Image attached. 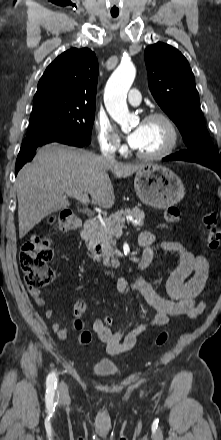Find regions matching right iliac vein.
Masks as SVG:
<instances>
[{
	"label": "right iliac vein",
	"instance_id": "63e3f726",
	"mask_svg": "<svg viewBox=\"0 0 221 440\" xmlns=\"http://www.w3.org/2000/svg\"><path fill=\"white\" fill-rule=\"evenodd\" d=\"M59 390H60V395H61V397H62V398H66L67 395H68V389H67V386H66L65 383L62 382V383L60 384Z\"/></svg>",
	"mask_w": 221,
	"mask_h": 440
}]
</instances>
